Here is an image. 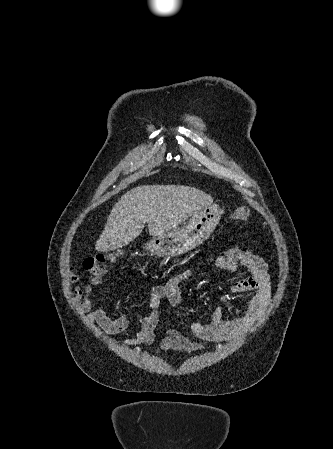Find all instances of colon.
Listing matches in <instances>:
<instances>
[{
	"instance_id": "colon-1",
	"label": "colon",
	"mask_w": 333,
	"mask_h": 449,
	"mask_svg": "<svg viewBox=\"0 0 333 449\" xmlns=\"http://www.w3.org/2000/svg\"><path fill=\"white\" fill-rule=\"evenodd\" d=\"M249 215V209L243 206L235 209L231 214V218L233 220L244 221ZM119 254L120 253H109L88 256L83 260V267L93 275L104 274L108 264L113 262Z\"/></svg>"
}]
</instances>
